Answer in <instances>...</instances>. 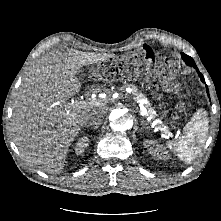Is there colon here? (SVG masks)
<instances>
[{"label":"colon","mask_w":221,"mask_h":221,"mask_svg":"<svg viewBox=\"0 0 221 221\" xmlns=\"http://www.w3.org/2000/svg\"><path fill=\"white\" fill-rule=\"evenodd\" d=\"M138 58L140 59V71L147 72L150 71L156 64L153 52L151 50H143L138 53ZM167 63H160L157 66L159 72L163 73L167 70ZM93 72L104 80H111L120 77L121 75H133L135 72L134 66H129L122 72L119 71L116 63H104L93 69Z\"/></svg>","instance_id":"1"}]
</instances>
